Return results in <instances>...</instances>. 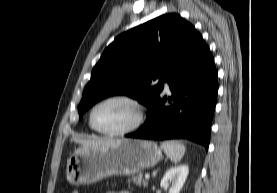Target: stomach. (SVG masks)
<instances>
[{
  "mask_svg": "<svg viewBox=\"0 0 277 193\" xmlns=\"http://www.w3.org/2000/svg\"><path fill=\"white\" fill-rule=\"evenodd\" d=\"M162 159L158 145L149 140L118 139L101 148L81 146L67 160L71 185L92 184L115 175H134Z\"/></svg>",
  "mask_w": 277,
  "mask_h": 193,
  "instance_id": "0dacf381",
  "label": "stomach"
}]
</instances>
